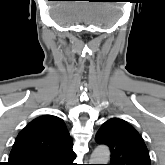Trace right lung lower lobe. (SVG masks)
Segmentation results:
<instances>
[{
	"instance_id": "1",
	"label": "right lung lower lobe",
	"mask_w": 165,
	"mask_h": 165,
	"mask_svg": "<svg viewBox=\"0 0 165 165\" xmlns=\"http://www.w3.org/2000/svg\"><path fill=\"white\" fill-rule=\"evenodd\" d=\"M75 156L72 146H69L60 156L48 165H75L73 163Z\"/></svg>"
}]
</instances>
